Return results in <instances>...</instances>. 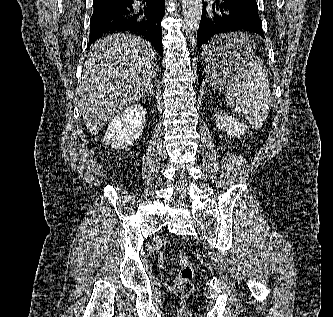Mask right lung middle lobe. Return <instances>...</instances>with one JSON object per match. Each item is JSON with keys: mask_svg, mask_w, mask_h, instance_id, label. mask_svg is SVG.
Returning a JSON list of instances; mask_svg holds the SVG:
<instances>
[{"mask_svg": "<svg viewBox=\"0 0 333 317\" xmlns=\"http://www.w3.org/2000/svg\"><path fill=\"white\" fill-rule=\"evenodd\" d=\"M104 3H108L106 1H93V4H104Z\"/></svg>", "mask_w": 333, "mask_h": 317, "instance_id": "right-lung-middle-lobe-1", "label": "right lung middle lobe"}]
</instances>
